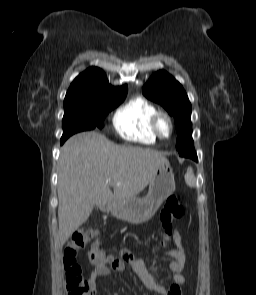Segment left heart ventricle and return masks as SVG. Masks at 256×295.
I'll return each instance as SVG.
<instances>
[{"mask_svg":"<svg viewBox=\"0 0 256 295\" xmlns=\"http://www.w3.org/2000/svg\"><path fill=\"white\" fill-rule=\"evenodd\" d=\"M162 131L166 134L168 132V126L166 123H162L161 125Z\"/></svg>","mask_w":256,"mask_h":295,"instance_id":"obj_1","label":"left heart ventricle"}]
</instances>
